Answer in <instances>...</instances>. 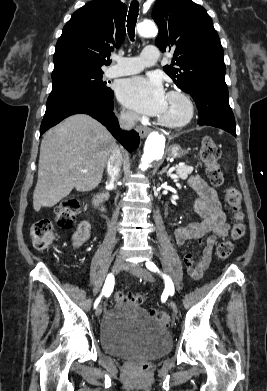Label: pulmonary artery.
<instances>
[{"label":"pulmonary artery","instance_id":"e3ab8cb5","mask_svg":"<svg viewBox=\"0 0 267 391\" xmlns=\"http://www.w3.org/2000/svg\"><path fill=\"white\" fill-rule=\"evenodd\" d=\"M160 57L157 47L146 46L138 57H114L116 64L108 69V77H120L140 72L144 67L155 64Z\"/></svg>","mask_w":267,"mask_h":391}]
</instances>
